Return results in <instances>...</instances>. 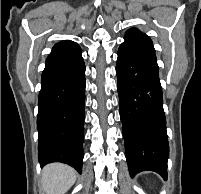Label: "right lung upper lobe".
Segmentation results:
<instances>
[{
  "mask_svg": "<svg viewBox=\"0 0 201 194\" xmlns=\"http://www.w3.org/2000/svg\"><path fill=\"white\" fill-rule=\"evenodd\" d=\"M79 59H82L79 45L73 41L64 40L54 45L46 59V65L70 63Z\"/></svg>",
  "mask_w": 201,
  "mask_h": 194,
  "instance_id": "right-lung-upper-lobe-1",
  "label": "right lung upper lobe"
}]
</instances>
